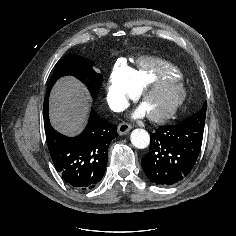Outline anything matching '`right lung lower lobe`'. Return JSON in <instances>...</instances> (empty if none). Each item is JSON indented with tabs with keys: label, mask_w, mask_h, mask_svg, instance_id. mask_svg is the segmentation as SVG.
Segmentation results:
<instances>
[{
	"label": "right lung lower lobe",
	"mask_w": 236,
	"mask_h": 236,
	"mask_svg": "<svg viewBox=\"0 0 236 236\" xmlns=\"http://www.w3.org/2000/svg\"><path fill=\"white\" fill-rule=\"evenodd\" d=\"M48 149L56 170L78 190H88L102 179L108 160V147L117 137V126L91 110L88 124L76 137H67L50 124L48 101L43 106Z\"/></svg>",
	"instance_id": "obj_1"
}]
</instances>
